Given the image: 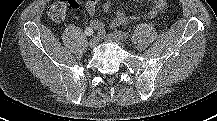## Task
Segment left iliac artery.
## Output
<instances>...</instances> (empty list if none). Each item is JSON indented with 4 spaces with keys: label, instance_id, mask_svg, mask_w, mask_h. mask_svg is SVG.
Segmentation results:
<instances>
[{
    "label": "left iliac artery",
    "instance_id": "obj_1",
    "mask_svg": "<svg viewBox=\"0 0 217 121\" xmlns=\"http://www.w3.org/2000/svg\"><path fill=\"white\" fill-rule=\"evenodd\" d=\"M115 34L122 40H126L129 37L128 33L122 32V31H115Z\"/></svg>",
    "mask_w": 217,
    "mask_h": 121
}]
</instances>
